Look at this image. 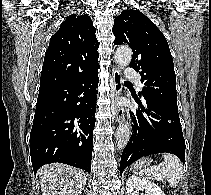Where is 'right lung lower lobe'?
Listing matches in <instances>:
<instances>
[{"label": "right lung lower lobe", "mask_w": 211, "mask_h": 195, "mask_svg": "<svg viewBox=\"0 0 211 195\" xmlns=\"http://www.w3.org/2000/svg\"><path fill=\"white\" fill-rule=\"evenodd\" d=\"M98 69L39 89L30 133L34 173L54 162L91 172Z\"/></svg>", "instance_id": "1"}]
</instances>
